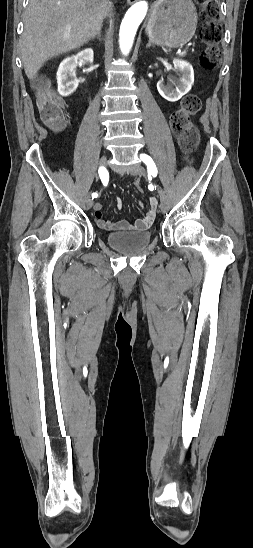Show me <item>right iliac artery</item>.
Masks as SVG:
<instances>
[{
	"label": "right iliac artery",
	"instance_id": "82829eb1",
	"mask_svg": "<svg viewBox=\"0 0 253 548\" xmlns=\"http://www.w3.org/2000/svg\"><path fill=\"white\" fill-rule=\"evenodd\" d=\"M98 173H99V176H100L101 181L103 182V184L107 185V183H108V172H107L106 168L100 167L99 170H98ZM96 197H97V193H93L92 194V199H94Z\"/></svg>",
	"mask_w": 253,
	"mask_h": 548
}]
</instances>
